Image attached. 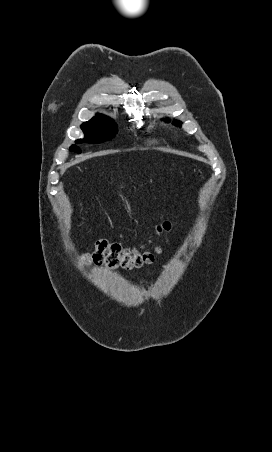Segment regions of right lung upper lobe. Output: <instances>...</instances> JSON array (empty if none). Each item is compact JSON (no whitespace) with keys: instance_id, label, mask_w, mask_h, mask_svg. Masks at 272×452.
<instances>
[{"instance_id":"cb5924a9","label":"right lung upper lobe","mask_w":272,"mask_h":452,"mask_svg":"<svg viewBox=\"0 0 272 452\" xmlns=\"http://www.w3.org/2000/svg\"><path fill=\"white\" fill-rule=\"evenodd\" d=\"M101 116H103V115H97V116L94 117L93 119H96V118L101 117ZM93 119H91V120H93Z\"/></svg>"}]
</instances>
